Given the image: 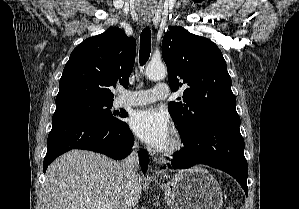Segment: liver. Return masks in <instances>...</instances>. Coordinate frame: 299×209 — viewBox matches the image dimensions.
Wrapping results in <instances>:
<instances>
[{
	"label": "liver",
	"mask_w": 299,
	"mask_h": 209,
	"mask_svg": "<svg viewBox=\"0 0 299 209\" xmlns=\"http://www.w3.org/2000/svg\"><path fill=\"white\" fill-rule=\"evenodd\" d=\"M120 162L98 153L71 150L57 158L47 169L43 201L45 209H95L89 203H108L122 209L129 201L136 206L142 192L137 174L127 183Z\"/></svg>",
	"instance_id": "liver-1"
}]
</instances>
